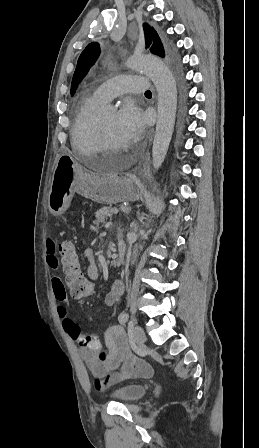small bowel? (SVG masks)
<instances>
[{"instance_id":"small-bowel-1","label":"small bowel","mask_w":259,"mask_h":448,"mask_svg":"<svg viewBox=\"0 0 259 448\" xmlns=\"http://www.w3.org/2000/svg\"><path fill=\"white\" fill-rule=\"evenodd\" d=\"M47 263L51 268H56L57 258L55 256V243L52 239L47 240ZM91 260L88 269L89 276H97V268L93 263L92 252H86ZM52 288L54 296L58 301V315L62 320V326L68 335L78 341L83 335L79 325L70 315V307L65 287L58 277H53ZM123 290L121 281L115 282L112 289L105 296V304L114 307L118 304L119 296ZM106 353L108 355L105 361L98 358V353L81 346L79 354L89 369L90 373L96 378L95 387L97 390H104L109 386L125 379L149 377L153 369L144 359L131 354L127 345V339L124 331L119 326H111L105 333ZM119 369V372H114Z\"/></svg>"}]
</instances>
